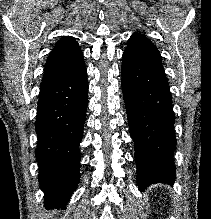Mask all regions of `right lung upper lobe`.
<instances>
[{"label": "right lung upper lobe", "mask_w": 211, "mask_h": 219, "mask_svg": "<svg viewBox=\"0 0 211 219\" xmlns=\"http://www.w3.org/2000/svg\"><path fill=\"white\" fill-rule=\"evenodd\" d=\"M81 59H83L82 51L73 37L66 36L57 41L45 64L41 84L58 76Z\"/></svg>", "instance_id": "right-lung-upper-lobe-1"}]
</instances>
